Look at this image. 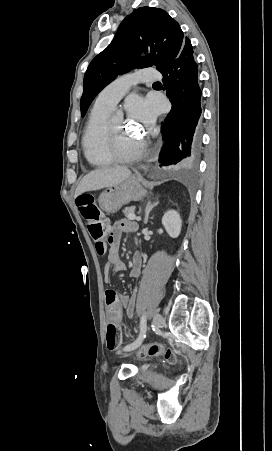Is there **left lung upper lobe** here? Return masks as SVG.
Listing matches in <instances>:
<instances>
[{
	"label": "left lung upper lobe",
	"instance_id": "5c2ea615",
	"mask_svg": "<svg viewBox=\"0 0 272 451\" xmlns=\"http://www.w3.org/2000/svg\"><path fill=\"white\" fill-rule=\"evenodd\" d=\"M179 24L160 8L140 7L126 16L110 45L90 63L84 75L80 101L83 117L96 95L119 74L133 68L155 65L164 70L179 54L184 43ZM151 50L137 58L138 51Z\"/></svg>",
	"mask_w": 272,
	"mask_h": 451
}]
</instances>
